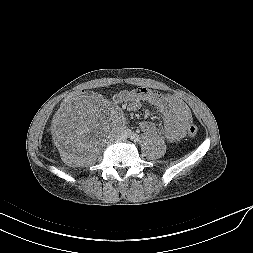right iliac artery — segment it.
<instances>
[{
  "instance_id": "1",
  "label": "right iliac artery",
  "mask_w": 253,
  "mask_h": 253,
  "mask_svg": "<svg viewBox=\"0 0 253 253\" xmlns=\"http://www.w3.org/2000/svg\"><path fill=\"white\" fill-rule=\"evenodd\" d=\"M131 134H132V133H131L130 130H126V131H125V135H126V136H129V137H130Z\"/></svg>"
}]
</instances>
